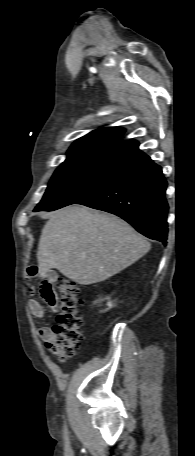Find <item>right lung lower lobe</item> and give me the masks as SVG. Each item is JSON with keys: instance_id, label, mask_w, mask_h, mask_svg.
Wrapping results in <instances>:
<instances>
[{"instance_id": "obj_1", "label": "right lung lower lobe", "mask_w": 195, "mask_h": 456, "mask_svg": "<svg viewBox=\"0 0 195 456\" xmlns=\"http://www.w3.org/2000/svg\"><path fill=\"white\" fill-rule=\"evenodd\" d=\"M167 182L150 157L129 166L75 204L115 214L150 239L167 243ZM34 211H42L36 209Z\"/></svg>"}]
</instances>
